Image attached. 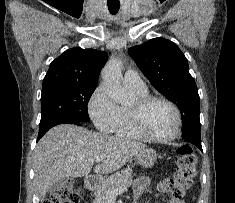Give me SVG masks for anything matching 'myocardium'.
Listing matches in <instances>:
<instances>
[{
  "label": "myocardium",
  "mask_w": 235,
  "mask_h": 203,
  "mask_svg": "<svg viewBox=\"0 0 235 203\" xmlns=\"http://www.w3.org/2000/svg\"><path fill=\"white\" fill-rule=\"evenodd\" d=\"M136 104L134 106H128L127 112L130 124L134 131L143 139L156 143H168L177 139L181 133L182 129V116L178 106L166 97L156 96V95H143L138 96L136 99ZM153 102H163L170 106L174 111L176 118V127L173 134L167 137H157L150 134L144 127L142 122V111L143 109Z\"/></svg>",
  "instance_id": "f54148a6"
}]
</instances>
